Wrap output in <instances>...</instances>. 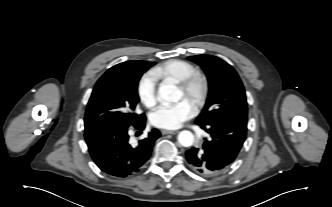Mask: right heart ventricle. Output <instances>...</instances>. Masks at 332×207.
Returning a JSON list of instances; mask_svg holds the SVG:
<instances>
[{
	"label": "right heart ventricle",
	"mask_w": 332,
	"mask_h": 207,
	"mask_svg": "<svg viewBox=\"0 0 332 207\" xmlns=\"http://www.w3.org/2000/svg\"><path fill=\"white\" fill-rule=\"evenodd\" d=\"M195 71V66L185 60L170 59L152 70L156 79L180 82Z\"/></svg>",
	"instance_id": "e07e8e85"
}]
</instances>
